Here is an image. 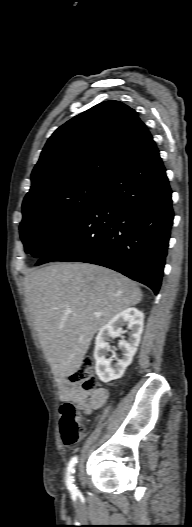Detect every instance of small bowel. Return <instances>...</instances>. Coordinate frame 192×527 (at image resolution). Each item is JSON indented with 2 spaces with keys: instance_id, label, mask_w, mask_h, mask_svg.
<instances>
[{
  "instance_id": "1",
  "label": "small bowel",
  "mask_w": 192,
  "mask_h": 527,
  "mask_svg": "<svg viewBox=\"0 0 192 527\" xmlns=\"http://www.w3.org/2000/svg\"><path fill=\"white\" fill-rule=\"evenodd\" d=\"M61 389L62 397L75 402L86 414L100 408L108 397V391L105 388H96L92 391H86L78 384L66 379L61 380Z\"/></svg>"
}]
</instances>
